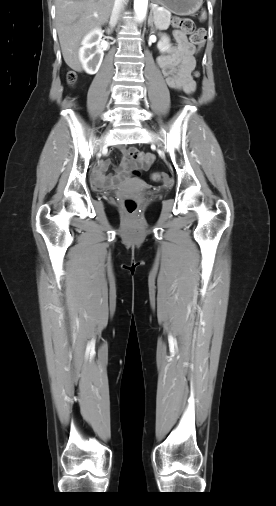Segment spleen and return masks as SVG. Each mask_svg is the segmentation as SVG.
<instances>
[{"label": "spleen", "instance_id": "spleen-1", "mask_svg": "<svg viewBox=\"0 0 276 506\" xmlns=\"http://www.w3.org/2000/svg\"><path fill=\"white\" fill-rule=\"evenodd\" d=\"M201 18H202V19H205V18H206V13H205V12H203V13H202Z\"/></svg>", "mask_w": 276, "mask_h": 506}]
</instances>
